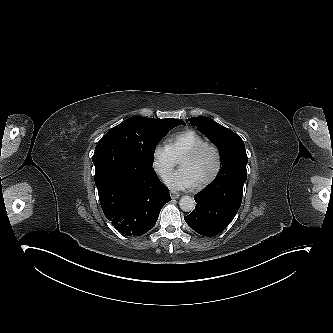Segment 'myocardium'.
Instances as JSON below:
<instances>
[{
  "mask_svg": "<svg viewBox=\"0 0 333 333\" xmlns=\"http://www.w3.org/2000/svg\"><path fill=\"white\" fill-rule=\"evenodd\" d=\"M204 149H209L213 152L214 158H215L214 166H213L212 171L210 172V174L207 177L195 182V186H197V187H203V186L208 185L218 175L220 168H221V156H220V152H219L218 148L212 143L203 142L200 145L191 149L180 160V166L183 168V165L186 162H189V161L195 159Z\"/></svg>",
  "mask_w": 333,
  "mask_h": 333,
  "instance_id": "myocardium-1",
  "label": "myocardium"
}]
</instances>
